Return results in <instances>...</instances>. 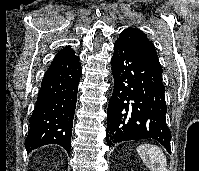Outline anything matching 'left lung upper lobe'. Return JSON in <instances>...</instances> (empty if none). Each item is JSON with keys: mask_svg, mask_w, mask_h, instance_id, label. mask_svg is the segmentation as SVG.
<instances>
[{"mask_svg": "<svg viewBox=\"0 0 199 171\" xmlns=\"http://www.w3.org/2000/svg\"><path fill=\"white\" fill-rule=\"evenodd\" d=\"M117 41L129 46L143 58L162 69L153 43L149 41L141 30L136 28H127L121 32Z\"/></svg>", "mask_w": 199, "mask_h": 171, "instance_id": "1", "label": "left lung upper lobe"}]
</instances>
